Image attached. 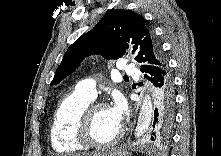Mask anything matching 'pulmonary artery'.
<instances>
[{"mask_svg":"<svg viewBox=\"0 0 221 156\" xmlns=\"http://www.w3.org/2000/svg\"><path fill=\"white\" fill-rule=\"evenodd\" d=\"M118 69L120 72L128 75H132L135 72V67L132 64H129L125 61H120L118 65ZM76 90L80 93L88 96L91 99H95L96 97V81L94 79L88 78L80 81L77 86Z\"/></svg>","mask_w":221,"mask_h":156,"instance_id":"1","label":"pulmonary artery"}]
</instances>
